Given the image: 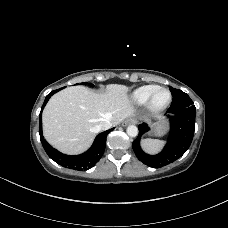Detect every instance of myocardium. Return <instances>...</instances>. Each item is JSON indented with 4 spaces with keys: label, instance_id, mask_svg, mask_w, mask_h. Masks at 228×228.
I'll return each mask as SVG.
<instances>
[{
    "label": "myocardium",
    "instance_id": "myocardium-1",
    "mask_svg": "<svg viewBox=\"0 0 228 228\" xmlns=\"http://www.w3.org/2000/svg\"><path fill=\"white\" fill-rule=\"evenodd\" d=\"M162 90L166 91L168 93L169 97L165 104L157 106L154 103L155 97H156L157 93ZM171 102H172V94H171L170 90L165 87H158L154 90V92L148 98V100L146 102V108L150 113L156 114V113H160V112L166 110L170 106Z\"/></svg>",
    "mask_w": 228,
    "mask_h": 228
}]
</instances>
